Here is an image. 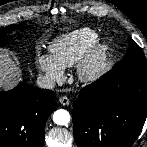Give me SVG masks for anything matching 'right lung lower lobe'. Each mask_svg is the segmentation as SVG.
I'll return each mask as SVG.
<instances>
[{
  "mask_svg": "<svg viewBox=\"0 0 147 147\" xmlns=\"http://www.w3.org/2000/svg\"><path fill=\"white\" fill-rule=\"evenodd\" d=\"M55 108L53 91L27 83L0 92V147H43L45 123Z\"/></svg>",
  "mask_w": 147,
  "mask_h": 147,
  "instance_id": "1",
  "label": "right lung lower lobe"
}]
</instances>
